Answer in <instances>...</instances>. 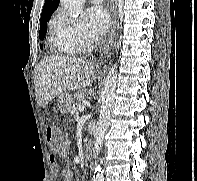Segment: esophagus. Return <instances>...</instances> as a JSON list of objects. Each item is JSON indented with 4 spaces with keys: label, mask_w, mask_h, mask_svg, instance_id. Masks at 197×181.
Instances as JSON below:
<instances>
[{
    "label": "esophagus",
    "mask_w": 197,
    "mask_h": 181,
    "mask_svg": "<svg viewBox=\"0 0 197 181\" xmlns=\"http://www.w3.org/2000/svg\"><path fill=\"white\" fill-rule=\"evenodd\" d=\"M114 7H113V22H112V28L110 30V33L106 39L103 52L105 54L109 53L110 50L112 49L114 39L116 37V32L118 28V19H117V10H118V2L119 0H114Z\"/></svg>",
    "instance_id": "1"
}]
</instances>
